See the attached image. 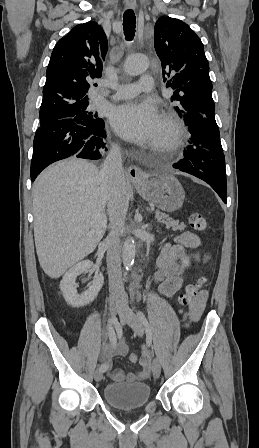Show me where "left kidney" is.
Returning a JSON list of instances; mask_svg holds the SVG:
<instances>
[{"label":"left kidney","mask_w":259,"mask_h":448,"mask_svg":"<svg viewBox=\"0 0 259 448\" xmlns=\"http://www.w3.org/2000/svg\"><path fill=\"white\" fill-rule=\"evenodd\" d=\"M182 262L185 266H189V260H187V258H183Z\"/></svg>","instance_id":"5707ae66"}]
</instances>
